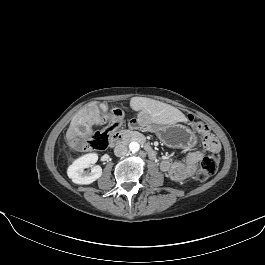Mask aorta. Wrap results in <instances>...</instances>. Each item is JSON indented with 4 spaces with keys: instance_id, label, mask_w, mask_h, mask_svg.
Here are the masks:
<instances>
[{
    "instance_id": "obj_1",
    "label": "aorta",
    "mask_w": 265,
    "mask_h": 265,
    "mask_svg": "<svg viewBox=\"0 0 265 265\" xmlns=\"http://www.w3.org/2000/svg\"><path fill=\"white\" fill-rule=\"evenodd\" d=\"M129 150L132 153L138 152L140 150V144L138 142H136V141L130 142V144H129Z\"/></svg>"
}]
</instances>
